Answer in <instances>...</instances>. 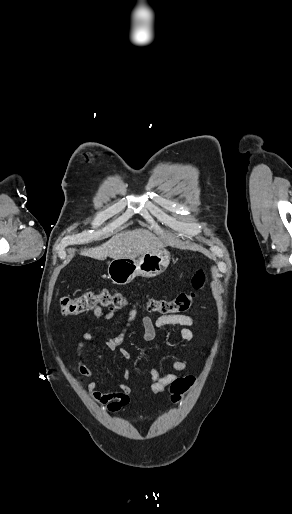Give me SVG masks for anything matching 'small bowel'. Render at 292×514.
I'll return each mask as SVG.
<instances>
[{
	"mask_svg": "<svg viewBox=\"0 0 292 514\" xmlns=\"http://www.w3.org/2000/svg\"><path fill=\"white\" fill-rule=\"evenodd\" d=\"M93 313L97 319L106 321L111 320L114 316L113 311H105L100 306H96L93 309ZM136 315V310L132 309L127 317L128 322L133 321L136 318ZM141 324L143 328V339L145 341H154L157 329L171 325L182 326L178 334L179 337L185 342L192 343L195 337L193 331L189 328L194 324V321L192 317L185 314L159 316L155 320H153L149 316H144L141 319ZM80 336L81 341L77 344L75 349L78 371L82 376L86 378H93L95 373L89 367V365L83 357L85 342L90 341L93 338V335L90 332H82ZM122 340L123 333L109 338L106 341V346L110 350H116L119 348ZM155 349L159 350L160 346L156 344ZM118 351L123 359L128 360L130 358L129 352L126 349L120 348ZM172 368L175 372L185 371L188 368V361L185 359L175 360L172 363ZM123 376L126 380L129 379L130 372L128 370H125L123 372ZM178 378L179 376L177 373H168L165 375H160L158 370L153 368L149 371V380L144 384L137 385L136 388L140 392L151 390L154 393H160L166 389L167 385H171ZM87 388L91 392V395L94 399L103 404H107L105 406V409L108 412L117 413L121 412L122 408L125 405H127L129 401V394L131 392V387L127 384H121L119 386L118 391L100 392L97 390V382L93 380L87 384Z\"/></svg>",
	"mask_w": 292,
	"mask_h": 514,
	"instance_id": "1",
	"label": "small bowel"
}]
</instances>
